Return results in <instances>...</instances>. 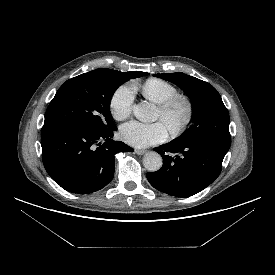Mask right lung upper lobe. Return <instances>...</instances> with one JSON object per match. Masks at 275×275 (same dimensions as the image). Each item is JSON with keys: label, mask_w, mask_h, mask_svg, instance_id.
<instances>
[{"label": "right lung upper lobe", "mask_w": 275, "mask_h": 275, "mask_svg": "<svg viewBox=\"0 0 275 275\" xmlns=\"http://www.w3.org/2000/svg\"><path fill=\"white\" fill-rule=\"evenodd\" d=\"M126 75L132 77V78H138V77H142V73L141 71H131V72H125Z\"/></svg>", "instance_id": "right-lung-upper-lobe-1"}]
</instances>
